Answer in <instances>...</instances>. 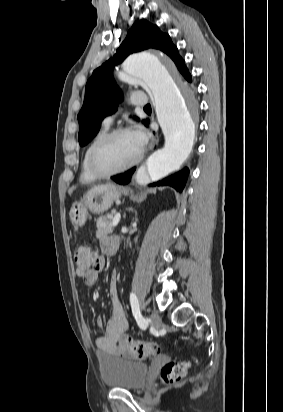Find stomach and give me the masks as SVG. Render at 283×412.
Segmentation results:
<instances>
[{
    "mask_svg": "<svg viewBox=\"0 0 283 412\" xmlns=\"http://www.w3.org/2000/svg\"><path fill=\"white\" fill-rule=\"evenodd\" d=\"M122 191L113 184L98 185L85 193L81 201L74 202L70 208L69 217L73 226L82 227L89 212L100 214L112 206L121 197Z\"/></svg>",
    "mask_w": 283,
    "mask_h": 412,
    "instance_id": "obj_1",
    "label": "stomach"
}]
</instances>
